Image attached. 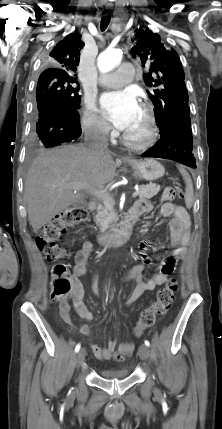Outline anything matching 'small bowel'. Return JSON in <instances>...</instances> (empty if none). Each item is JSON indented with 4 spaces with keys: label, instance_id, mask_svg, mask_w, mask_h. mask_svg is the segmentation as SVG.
<instances>
[{
    "label": "small bowel",
    "instance_id": "c3829d8e",
    "mask_svg": "<svg viewBox=\"0 0 222 429\" xmlns=\"http://www.w3.org/2000/svg\"><path fill=\"white\" fill-rule=\"evenodd\" d=\"M152 210V205L147 200H141L133 207L132 211L135 212L138 216L148 213ZM161 215L164 217H172L170 222V240L171 244L174 247V250L167 258L158 266V272L152 275L148 280L144 278V270L146 265L150 262L149 258L146 256V251L149 247L148 242H142L139 246L140 255L142 262L132 266L126 271V273L121 277V281L133 280L136 283V287L129 299L126 302V306H131L135 300H137L145 291L153 290L157 286L164 284L168 277L174 271L176 263L178 260L184 259L187 254V246L190 238V217L184 207L180 205L173 204L171 202H163L161 206ZM93 250V244L89 241L82 243L81 247L75 254L74 260L75 265L73 269V279L76 285V296L74 299V306L80 315L85 320H92L93 315L90 310L85 306L81 299V285L77 280V277L84 275L89 270L88 259ZM92 288L95 294L99 295L100 288L98 283V277L94 273L92 278ZM60 315L64 322L71 323V313L70 305L63 304L60 307ZM113 328L116 330L117 326L114 324ZM79 331L83 335H90L91 331L87 325H82L79 328ZM117 341L115 338L109 339L105 346H100L97 344H91L90 348L94 356L100 360H117L123 361L125 358L130 356L134 349L135 344L133 342H123L121 343L117 350Z\"/></svg>",
    "mask_w": 222,
    "mask_h": 429
}]
</instances>
